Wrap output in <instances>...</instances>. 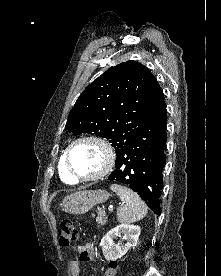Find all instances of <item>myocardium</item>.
Masks as SVG:
<instances>
[{
    "label": "myocardium",
    "mask_w": 221,
    "mask_h": 276,
    "mask_svg": "<svg viewBox=\"0 0 221 276\" xmlns=\"http://www.w3.org/2000/svg\"><path fill=\"white\" fill-rule=\"evenodd\" d=\"M83 142H91V143L97 144L98 146H100L102 148L104 155H105V162H104L103 167L101 168V170L99 172H97L96 174L91 175V176L77 175L73 171V169L71 167V163H70L71 150L73 149L74 146H76L79 143H83ZM64 162H65V167H66L67 173L75 181H81V182L96 181V180H99V179L105 177L106 175H108L110 173V171L112 170V168L115 164V152H114L112 145L106 139H104L100 136H96V135L82 136V137L75 139L74 141H72L69 144V146L67 147V149L64 153Z\"/></svg>",
    "instance_id": "obj_1"
}]
</instances>
